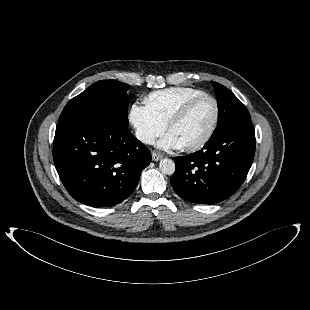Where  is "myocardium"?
Returning <instances> with one entry per match:
<instances>
[{
  "instance_id": "f54148a6",
  "label": "myocardium",
  "mask_w": 310,
  "mask_h": 310,
  "mask_svg": "<svg viewBox=\"0 0 310 310\" xmlns=\"http://www.w3.org/2000/svg\"><path fill=\"white\" fill-rule=\"evenodd\" d=\"M204 99H209L214 104L213 120L211 122L209 129L199 141L193 144H190V145L181 146V148L184 151H187V152L198 151L202 149L205 145H207V143L211 140L212 136L214 135L216 131V128L219 122V117H220V107H219L218 101L213 96L206 94V93L199 95L197 97L191 98L179 108V110L170 118V120L167 123V129L168 131H170L176 124L181 122L186 117V115L190 112V110L193 108V106L196 103Z\"/></svg>"
}]
</instances>
